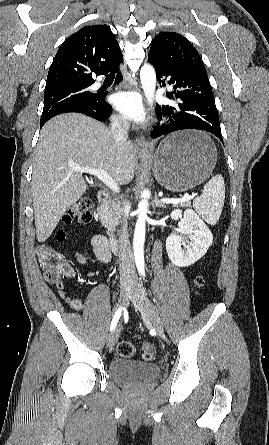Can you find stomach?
Segmentation results:
<instances>
[{
    "label": "stomach",
    "mask_w": 269,
    "mask_h": 445,
    "mask_svg": "<svg viewBox=\"0 0 269 445\" xmlns=\"http://www.w3.org/2000/svg\"><path fill=\"white\" fill-rule=\"evenodd\" d=\"M217 150L199 131H179L164 138L154 156L157 182L172 192H184L202 183L212 173Z\"/></svg>",
    "instance_id": "obj_1"
}]
</instances>
